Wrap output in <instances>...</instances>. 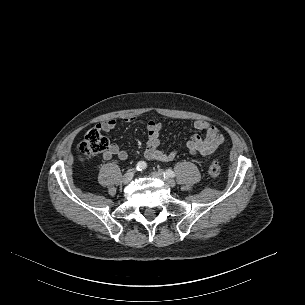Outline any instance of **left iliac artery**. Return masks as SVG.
<instances>
[{"mask_svg":"<svg viewBox=\"0 0 305 305\" xmlns=\"http://www.w3.org/2000/svg\"><path fill=\"white\" fill-rule=\"evenodd\" d=\"M167 177H175V173L172 170L168 169L164 173V178H167Z\"/></svg>","mask_w":305,"mask_h":305,"instance_id":"1","label":"left iliac artery"}]
</instances>
